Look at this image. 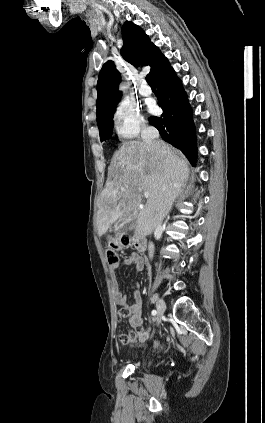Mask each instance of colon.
Instances as JSON below:
<instances>
[{"instance_id":"1","label":"colon","mask_w":265,"mask_h":423,"mask_svg":"<svg viewBox=\"0 0 265 423\" xmlns=\"http://www.w3.org/2000/svg\"><path fill=\"white\" fill-rule=\"evenodd\" d=\"M130 237L126 233H114L109 237V245L106 249V260L109 264L119 262L118 251L130 245Z\"/></svg>"}]
</instances>
